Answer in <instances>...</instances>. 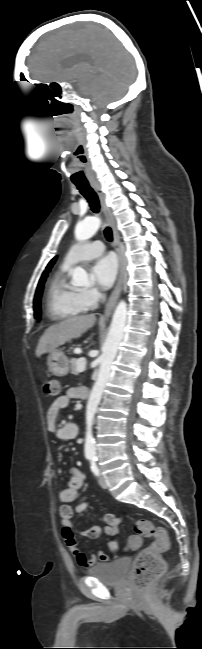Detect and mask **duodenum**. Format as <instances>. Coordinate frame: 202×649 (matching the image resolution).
<instances>
[{"label": "duodenum", "instance_id": "obj_1", "mask_svg": "<svg viewBox=\"0 0 202 649\" xmlns=\"http://www.w3.org/2000/svg\"><path fill=\"white\" fill-rule=\"evenodd\" d=\"M87 396H88V390L85 389V391H84V398L87 397Z\"/></svg>", "mask_w": 202, "mask_h": 649}]
</instances>
